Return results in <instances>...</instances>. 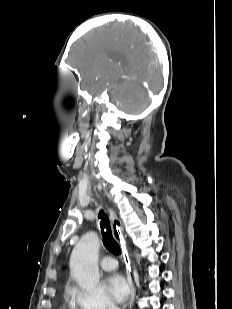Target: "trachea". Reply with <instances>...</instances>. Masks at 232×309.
<instances>
[{
	"label": "trachea",
	"instance_id": "obj_1",
	"mask_svg": "<svg viewBox=\"0 0 232 309\" xmlns=\"http://www.w3.org/2000/svg\"><path fill=\"white\" fill-rule=\"evenodd\" d=\"M98 217L100 219V228L104 239V245L114 254L121 255L120 246L112 235L111 225L108 216L103 210H101Z\"/></svg>",
	"mask_w": 232,
	"mask_h": 309
}]
</instances>
